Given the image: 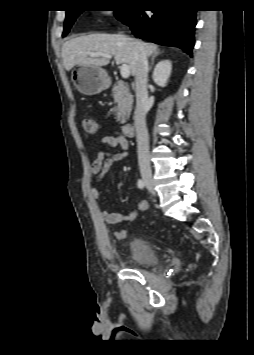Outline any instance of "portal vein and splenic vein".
Returning <instances> with one entry per match:
<instances>
[{"label":"portal vein and splenic vein","mask_w":254,"mask_h":355,"mask_svg":"<svg viewBox=\"0 0 254 355\" xmlns=\"http://www.w3.org/2000/svg\"><path fill=\"white\" fill-rule=\"evenodd\" d=\"M89 55L91 57H105V58H108V59H111L112 58V55L110 54H106V53H101V52H91L89 53ZM120 74L122 76V78L126 79L130 76V68L127 64H122L121 67H120Z\"/></svg>","instance_id":"18ae733b"}]
</instances>
